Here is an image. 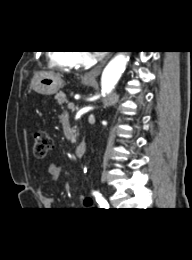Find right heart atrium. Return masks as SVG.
I'll list each match as a JSON object with an SVG mask.
<instances>
[{
	"mask_svg": "<svg viewBox=\"0 0 192 260\" xmlns=\"http://www.w3.org/2000/svg\"><path fill=\"white\" fill-rule=\"evenodd\" d=\"M74 58L77 65H84L89 61L90 56L87 52L80 51L75 53Z\"/></svg>",
	"mask_w": 192,
	"mask_h": 260,
	"instance_id": "1",
	"label": "right heart atrium"
}]
</instances>
